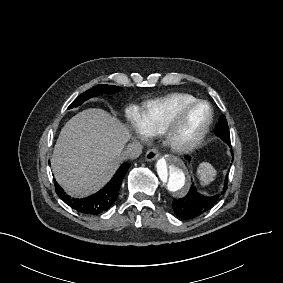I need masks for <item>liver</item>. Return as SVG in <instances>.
<instances>
[{"instance_id":"6515ba94","label":"liver","mask_w":283,"mask_h":283,"mask_svg":"<svg viewBox=\"0 0 283 283\" xmlns=\"http://www.w3.org/2000/svg\"><path fill=\"white\" fill-rule=\"evenodd\" d=\"M127 126L102 109L73 116L61 129L51 158L56 181L71 196L99 191L113 177L131 139Z\"/></svg>"}]
</instances>
